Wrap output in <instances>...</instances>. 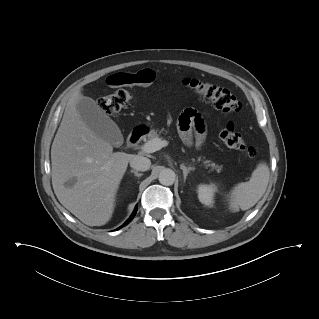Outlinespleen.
<instances>
[{
  "label": "spleen",
  "mask_w": 319,
  "mask_h": 319,
  "mask_svg": "<svg viewBox=\"0 0 319 319\" xmlns=\"http://www.w3.org/2000/svg\"><path fill=\"white\" fill-rule=\"evenodd\" d=\"M269 167L265 162L257 165L249 181L237 184L230 194V209L248 210L264 195L269 182Z\"/></svg>",
  "instance_id": "obj_1"
}]
</instances>
